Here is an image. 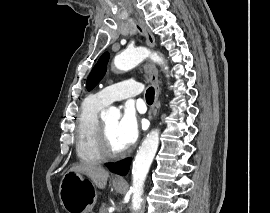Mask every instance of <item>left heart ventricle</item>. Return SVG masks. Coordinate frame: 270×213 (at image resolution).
<instances>
[{
  "label": "left heart ventricle",
  "instance_id": "1",
  "mask_svg": "<svg viewBox=\"0 0 270 213\" xmlns=\"http://www.w3.org/2000/svg\"><path fill=\"white\" fill-rule=\"evenodd\" d=\"M106 132L108 136V141L111 146V148L115 151H121L123 150V146L121 142L119 141L118 135H117V125L118 120L117 119H106L102 121Z\"/></svg>",
  "mask_w": 270,
  "mask_h": 213
}]
</instances>
